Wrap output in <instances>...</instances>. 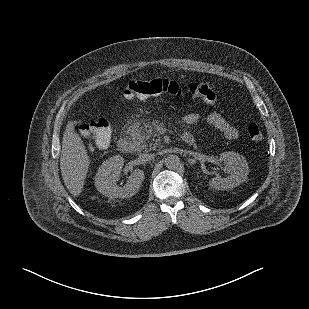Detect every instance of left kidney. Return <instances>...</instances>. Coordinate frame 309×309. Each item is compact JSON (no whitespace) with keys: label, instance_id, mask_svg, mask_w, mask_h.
Wrapping results in <instances>:
<instances>
[{"label":"left kidney","instance_id":"5707ae66","mask_svg":"<svg viewBox=\"0 0 309 309\" xmlns=\"http://www.w3.org/2000/svg\"><path fill=\"white\" fill-rule=\"evenodd\" d=\"M220 160L226 164L228 176H216L209 181V185L219 191L233 189L247 180L249 166L246 159L239 153L229 151L220 154Z\"/></svg>","mask_w":309,"mask_h":309}]
</instances>
